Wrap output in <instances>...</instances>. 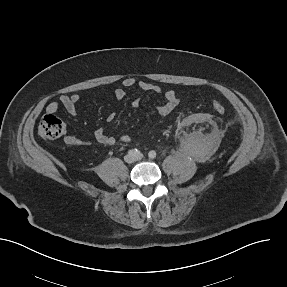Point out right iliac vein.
<instances>
[{"label":"right iliac vein","mask_w":287,"mask_h":287,"mask_svg":"<svg viewBox=\"0 0 287 287\" xmlns=\"http://www.w3.org/2000/svg\"><path fill=\"white\" fill-rule=\"evenodd\" d=\"M124 159L127 163H133L135 161V157L129 154L126 155Z\"/></svg>","instance_id":"63e3f726"}]
</instances>
